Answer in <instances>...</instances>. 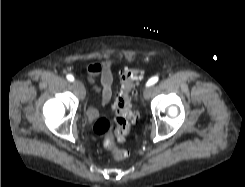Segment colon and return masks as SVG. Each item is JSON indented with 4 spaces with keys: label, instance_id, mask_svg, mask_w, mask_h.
I'll list each match as a JSON object with an SVG mask.
<instances>
[{
    "label": "colon",
    "instance_id": "obj_1",
    "mask_svg": "<svg viewBox=\"0 0 245 187\" xmlns=\"http://www.w3.org/2000/svg\"><path fill=\"white\" fill-rule=\"evenodd\" d=\"M143 77V71L136 68H127L121 73L120 84L112 104L114 116L99 117L94 125L93 131L103 138L105 147L110 150L116 159H124L127 152L116 146L115 139L124 140L136 120L137 113L133 107L135 97L134 86Z\"/></svg>",
    "mask_w": 245,
    "mask_h": 187
}]
</instances>
